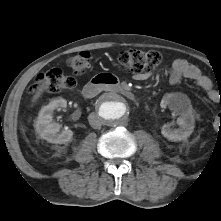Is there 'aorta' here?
Wrapping results in <instances>:
<instances>
[{
	"instance_id": "obj_1",
	"label": "aorta",
	"mask_w": 221,
	"mask_h": 221,
	"mask_svg": "<svg viewBox=\"0 0 221 221\" xmlns=\"http://www.w3.org/2000/svg\"><path fill=\"white\" fill-rule=\"evenodd\" d=\"M129 110L128 102L119 94H107L98 102V115L109 126L125 122L128 118Z\"/></svg>"
}]
</instances>
